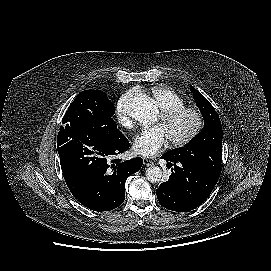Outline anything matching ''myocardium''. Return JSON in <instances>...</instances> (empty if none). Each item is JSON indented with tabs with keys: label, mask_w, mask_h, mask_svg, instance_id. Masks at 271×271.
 <instances>
[{
	"label": "myocardium",
	"mask_w": 271,
	"mask_h": 271,
	"mask_svg": "<svg viewBox=\"0 0 271 271\" xmlns=\"http://www.w3.org/2000/svg\"><path fill=\"white\" fill-rule=\"evenodd\" d=\"M184 115H189L192 117L193 126L187 133H185L182 136L169 137L171 143L175 147H182L190 143L193 139H195L198 136L204 125L202 113L194 107L181 106L162 110L160 114V118L163 123H169Z\"/></svg>",
	"instance_id": "f54148a6"
}]
</instances>
